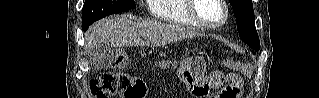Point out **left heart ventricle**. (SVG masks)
Returning <instances> with one entry per match:
<instances>
[{"label":"left heart ventricle","instance_id":"1","mask_svg":"<svg viewBox=\"0 0 319 98\" xmlns=\"http://www.w3.org/2000/svg\"><path fill=\"white\" fill-rule=\"evenodd\" d=\"M196 12L210 24H217L222 21L224 10L217 0L196 1Z\"/></svg>","mask_w":319,"mask_h":98}]
</instances>
